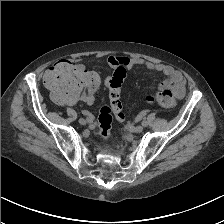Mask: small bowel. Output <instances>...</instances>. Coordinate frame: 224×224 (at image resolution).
<instances>
[{"mask_svg":"<svg viewBox=\"0 0 224 224\" xmlns=\"http://www.w3.org/2000/svg\"><path fill=\"white\" fill-rule=\"evenodd\" d=\"M107 63L111 68L114 69L122 67L129 70L134 66H143L148 70L160 72L167 77L159 84L160 90H170L176 98H182L185 94V79L183 75L168 65L149 62L142 58L116 55L109 56ZM124 120L125 117L122 121Z\"/></svg>","mask_w":224,"mask_h":224,"instance_id":"1","label":"small bowel"}]
</instances>
